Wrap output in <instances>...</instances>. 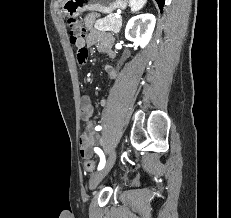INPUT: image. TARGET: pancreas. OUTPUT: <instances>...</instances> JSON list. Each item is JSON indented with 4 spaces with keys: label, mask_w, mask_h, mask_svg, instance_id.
<instances>
[{
    "label": "pancreas",
    "mask_w": 231,
    "mask_h": 218,
    "mask_svg": "<svg viewBox=\"0 0 231 218\" xmlns=\"http://www.w3.org/2000/svg\"><path fill=\"white\" fill-rule=\"evenodd\" d=\"M122 26V19L116 18L115 14H109L105 18L95 23V28L99 31H112L118 33Z\"/></svg>",
    "instance_id": "pancreas-1"
}]
</instances>
